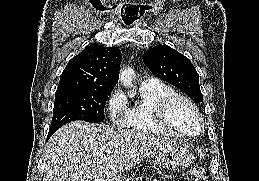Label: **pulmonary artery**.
Segmentation results:
<instances>
[{
    "label": "pulmonary artery",
    "instance_id": "pulmonary-artery-1",
    "mask_svg": "<svg viewBox=\"0 0 259 181\" xmlns=\"http://www.w3.org/2000/svg\"><path fill=\"white\" fill-rule=\"evenodd\" d=\"M153 81H155L154 79H152V78H150V79H146V80H144L143 81V83H149V82H153Z\"/></svg>",
    "mask_w": 259,
    "mask_h": 181
}]
</instances>
